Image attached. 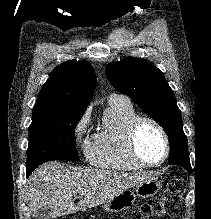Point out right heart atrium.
I'll return each mask as SVG.
<instances>
[{"label": "right heart atrium", "mask_w": 211, "mask_h": 219, "mask_svg": "<svg viewBox=\"0 0 211 219\" xmlns=\"http://www.w3.org/2000/svg\"><path fill=\"white\" fill-rule=\"evenodd\" d=\"M89 118L87 115H82L76 122L73 128V136L75 140H80L88 129Z\"/></svg>", "instance_id": "d8ad5b80"}]
</instances>
